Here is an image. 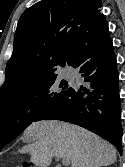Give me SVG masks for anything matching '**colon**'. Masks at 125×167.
I'll list each match as a JSON object with an SVG mask.
<instances>
[{"label":"colon","mask_w":125,"mask_h":167,"mask_svg":"<svg viewBox=\"0 0 125 167\" xmlns=\"http://www.w3.org/2000/svg\"><path fill=\"white\" fill-rule=\"evenodd\" d=\"M19 167H34V165L29 162H23Z\"/></svg>","instance_id":"1"}]
</instances>
